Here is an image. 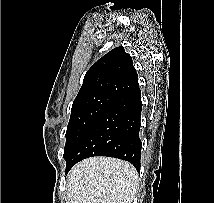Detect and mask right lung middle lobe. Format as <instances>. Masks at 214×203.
Segmentation results:
<instances>
[{
  "instance_id": "right-lung-middle-lobe-1",
  "label": "right lung middle lobe",
  "mask_w": 214,
  "mask_h": 203,
  "mask_svg": "<svg viewBox=\"0 0 214 203\" xmlns=\"http://www.w3.org/2000/svg\"><path fill=\"white\" fill-rule=\"evenodd\" d=\"M112 100L111 97L100 95L74 100L66 131L63 155L65 160L68 159L84 133Z\"/></svg>"
}]
</instances>
